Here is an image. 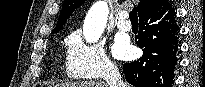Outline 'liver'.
Here are the masks:
<instances>
[{
  "instance_id": "obj_1",
  "label": "liver",
  "mask_w": 205,
  "mask_h": 87,
  "mask_svg": "<svg viewBox=\"0 0 205 87\" xmlns=\"http://www.w3.org/2000/svg\"><path fill=\"white\" fill-rule=\"evenodd\" d=\"M55 87H108V84L105 82H69L55 85Z\"/></svg>"
}]
</instances>
